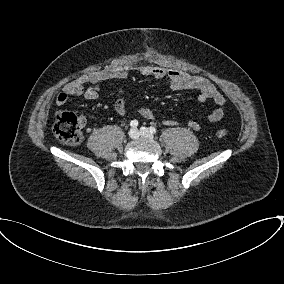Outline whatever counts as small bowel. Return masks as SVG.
<instances>
[{
    "label": "small bowel",
    "instance_id": "1",
    "mask_svg": "<svg viewBox=\"0 0 284 284\" xmlns=\"http://www.w3.org/2000/svg\"><path fill=\"white\" fill-rule=\"evenodd\" d=\"M139 73L146 77L155 79H167L170 88L174 91L196 90L198 91L197 99L204 103L211 100L216 107L207 116V121L210 123L221 120L225 115L226 99L223 94L205 77L192 75L179 70H168L162 67H154L144 65L139 67ZM129 76V69L126 67L117 68L110 71H94L83 74L73 81L67 83L56 97L57 106H63L67 103L71 96H83L88 100L99 98L102 90V83L109 79L125 80ZM116 111L119 115L126 114V103L123 99L116 102ZM139 114L146 119H153L154 115L148 108H140ZM82 119V125L85 124V119ZM164 124L175 126L177 122L172 119H167ZM188 125L193 130H200L201 123L196 120H190Z\"/></svg>",
    "mask_w": 284,
    "mask_h": 284
}]
</instances>
